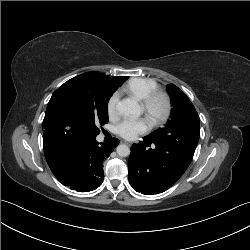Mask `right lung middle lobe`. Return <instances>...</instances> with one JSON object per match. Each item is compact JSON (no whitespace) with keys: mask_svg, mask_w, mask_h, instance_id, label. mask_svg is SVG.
I'll return each mask as SVG.
<instances>
[{"mask_svg":"<svg viewBox=\"0 0 250 250\" xmlns=\"http://www.w3.org/2000/svg\"><path fill=\"white\" fill-rule=\"evenodd\" d=\"M121 82L88 72L65 82L56 90L46 109L44 134L59 141L70 137H96L98 125L108 122V101Z\"/></svg>","mask_w":250,"mask_h":250,"instance_id":"dd1d6c3e","label":"right lung middle lobe"}]
</instances>
